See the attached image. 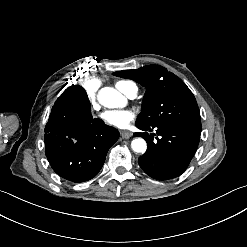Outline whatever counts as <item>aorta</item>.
Returning <instances> with one entry per match:
<instances>
[{
    "label": "aorta",
    "instance_id": "aorta-1",
    "mask_svg": "<svg viewBox=\"0 0 247 247\" xmlns=\"http://www.w3.org/2000/svg\"><path fill=\"white\" fill-rule=\"evenodd\" d=\"M98 100L101 105L107 108H116L123 105L125 97L111 87H104L98 93ZM135 152L144 153L147 149L146 141L143 138H135L131 142Z\"/></svg>",
    "mask_w": 247,
    "mask_h": 247
}]
</instances>
